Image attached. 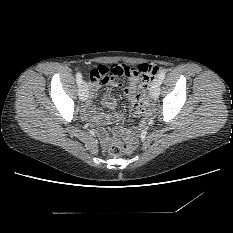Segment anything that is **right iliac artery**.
Instances as JSON below:
<instances>
[{
  "mask_svg": "<svg viewBox=\"0 0 233 233\" xmlns=\"http://www.w3.org/2000/svg\"><path fill=\"white\" fill-rule=\"evenodd\" d=\"M76 81H77L78 85L80 86V84L82 82V75L79 72L76 74Z\"/></svg>",
  "mask_w": 233,
  "mask_h": 233,
  "instance_id": "82829eb1",
  "label": "right iliac artery"
}]
</instances>
